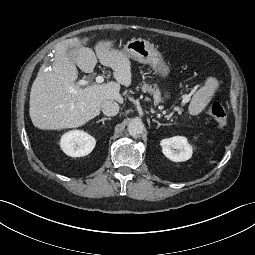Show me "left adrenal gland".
Here are the masks:
<instances>
[{"label":"left adrenal gland","instance_id":"a2214340","mask_svg":"<svg viewBox=\"0 0 255 255\" xmlns=\"http://www.w3.org/2000/svg\"><path fill=\"white\" fill-rule=\"evenodd\" d=\"M153 122L157 123V128H159L160 126H168L171 125V123H166V124H162L159 121H157L156 119H152Z\"/></svg>","mask_w":255,"mask_h":255}]
</instances>
